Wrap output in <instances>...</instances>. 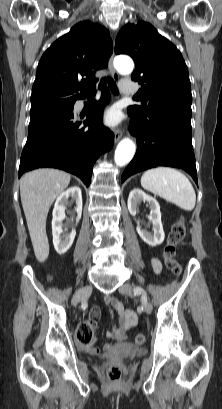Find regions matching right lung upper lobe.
<instances>
[{
	"mask_svg": "<svg viewBox=\"0 0 222 409\" xmlns=\"http://www.w3.org/2000/svg\"><path fill=\"white\" fill-rule=\"evenodd\" d=\"M112 50L107 29L90 21L76 24L41 57L31 107L70 104L86 98L97 81L94 72L107 66Z\"/></svg>",
	"mask_w": 222,
	"mask_h": 409,
	"instance_id": "obj_1",
	"label": "right lung upper lobe"
}]
</instances>
